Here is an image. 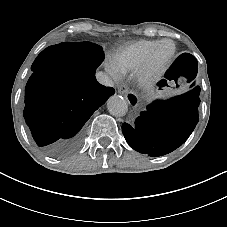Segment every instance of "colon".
I'll use <instances>...</instances> for the list:
<instances>
[{
    "label": "colon",
    "instance_id": "colon-1",
    "mask_svg": "<svg viewBox=\"0 0 227 227\" xmlns=\"http://www.w3.org/2000/svg\"><path fill=\"white\" fill-rule=\"evenodd\" d=\"M196 71V60L190 54H181L173 63L166 76V81L190 82Z\"/></svg>",
    "mask_w": 227,
    "mask_h": 227
}]
</instances>
